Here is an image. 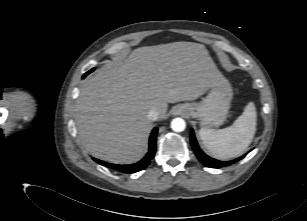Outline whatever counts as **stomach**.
I'll list each match as a JSON object with an SVG mask.
<instances>
[{
    "mask_svg": "<svg viewBox=\"0 0 307 221\" xmlns=\"http://www.w3.org/2000/svg\"><path fill=\"white\" fill-rule=\"evenodd\" d=\"M232 97V87L223 77L210 88L207 96L200 102L185 103L180 106L186 108L190 117L198 118L201 127H218L225 122L229 114Z\"/></svg>",
    "mask_w": 307,
    "mask_h": 221,
    "instance_id": "obj_1",
    "label": "stomach"
}]
</instances>
